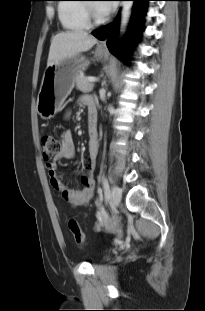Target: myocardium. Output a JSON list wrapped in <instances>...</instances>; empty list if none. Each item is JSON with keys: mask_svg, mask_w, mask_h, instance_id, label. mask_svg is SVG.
Segmentation results:
<instances>
[{"mask_svg": "<svg viewBox=\"0 0 205 311\" xmlns=\"http://www.w3.org/2000/svg\"><path fill=\"white\" fill-rule=\"evenodd\" d=\"M86 14L88 21L94 25H98L103 21V18L97 12L96 8L92 4H86Z\"/></svg>", "mask_w": 205, "mask_h": 311, "instance_id": "myocardium-1", "label": "myocardium"}]
</instances>
